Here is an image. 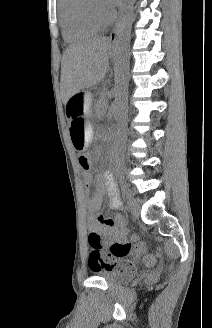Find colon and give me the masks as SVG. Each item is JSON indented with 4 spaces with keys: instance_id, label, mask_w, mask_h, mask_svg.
Here are the masks:
<instances>
[{
    "instance_id": "1",
    "label": "colon",
    "mask_w": 212,
    "mask_h": 328,
    "mask_svg": "<svg viewBox=\"0 0 212 328\" xmlns=\"http://www.w3.org/2000/svg\"><path fill=\"white\" fill-rule=\"evenodd\" d=\"M78 162L80 170H92L93 168L90 153H80ZM88 243L92 249L89 255V265L104 270H109L114 267L113 257L123 258L133 253H142L145 250V244L140 242L136 236L133 237L132 241L125 239L115 241L110 247V254L103 252L101 237L98 233L94 231L90 232L88 235ZM160 256V251L155 255H146L143 258V262L145 265L151 266Z\"/></svg>"
}]
</instances>
